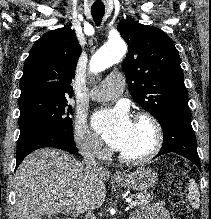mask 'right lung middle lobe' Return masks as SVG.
Listing matches in <instances>:
<instances>
[{
  "label": "right lung middle lobe",
  "mask_w": 211,
  "mask_h": 219,
  "mask_svg": "<svg viewBox=\"0 0 211 219\" xmlns=\"http://www.w3.org/2000/svg\"><path fill=\"white\" fill-rule=\"evenodd\" d=\"M20 136L38 129H54L73 134L72 107L68 98L34 97L19 101Z\"/></svg>",
  "instance_id": "1"
}]
</instances>
